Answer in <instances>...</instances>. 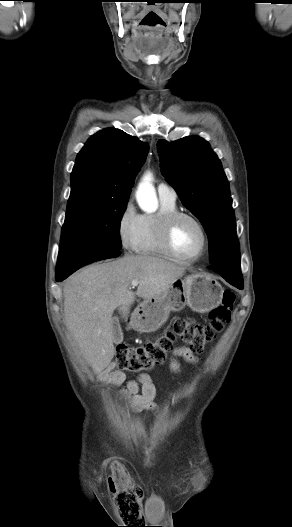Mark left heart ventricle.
Here are the masks:
<instances>
[{
    "instance_id": "left-heart-ventricle-1",
    "label": "left heart ventricle",
    "mask_w": 292,
    "mask_h": 527,
    "mask_svg": "<svg viewBox=\"0 0 292 527\" xmlns=\"http://www.w3.org/2000/svg\"><path fill=\"white\" fill-rule=\"evenodd\" d=\"M202 234L191 220L182 218L176 222L172 231V244L183 257L193 258L202 248Z\"/></svg>"
}]
</instances>
